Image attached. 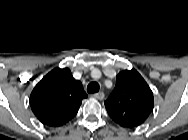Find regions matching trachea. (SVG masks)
<instances>
[{"label": "trachea", "instance_id": "obj_1", "mask_svg": "<svg viewBox=\"0 0 188 140\" xmlns=\"http://www.w3.org/2000/svg\"><path fill=\"white\" fill-rule=\"evenodd\" d=\"M99 91V84L97 82H91L87 86V92L88 93H96Z\"/></svg>", "mask_w": 188, "mask_h": 140}]
</instances>
